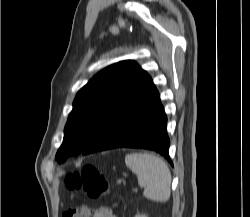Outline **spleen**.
<instances>
[{"instance_id":"obj_1","label":"spleen","mask_w":250,"mask_h":217,"mask_svg":"<svg viewBox=\"0 0 250 217\" xmlns=\"http://www.w3.org/2000/svg\"><path fill=\"white\" fill-rule=\"evenodd\" d=\"M125 163L137 175L145 198L155 202H166L170 198L171 173L161 158L154 154L131 153L125 156Z\"/></svg>"}]
</instances>
